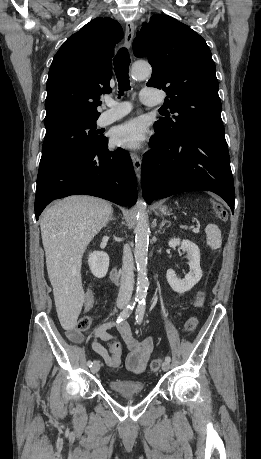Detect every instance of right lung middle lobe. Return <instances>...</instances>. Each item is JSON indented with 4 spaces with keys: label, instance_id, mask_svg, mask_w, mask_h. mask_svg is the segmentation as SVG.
Segmentation results:
<instances>
[{
    "label": "right lung middle lobe",
    "instance_id": "right-lung-middle-lobe-1",
    "mask_svg": "<svg viewBox=\"0 0 261 459\" xmlns=\"http://www.w3.org/2000/svg\"><path fill=\"white\" fill-rule=\"evenodd\" d=\"M95 120H68L46 127L39 169L67 155L94 149L105 137Z\"/></svg>",
    "mask_w": 261,
    "mask_h": 459
}]
</instances>
